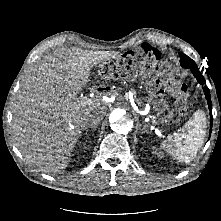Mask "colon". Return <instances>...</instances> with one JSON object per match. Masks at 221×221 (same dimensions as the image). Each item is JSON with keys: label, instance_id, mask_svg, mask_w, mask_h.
I'll use <instances>...</instances> for the list:
<instances>
[{"label": "colon", "instance_id": "5ec220e1", "mask_svg": "<svg viewBox=\"0 0 221 221\" xmlns=\"http://www.w3.org/2000/svg\"><path fill=\"white\" fill-rule=\"evenodd\" d=\"M144 51L141 52V50H136L133 52V56L139 58L141 61V65L139 66L140 72H146L147 67L157 62V58L153 56L154 49L150 46H143ZM134 72V69L131 67H128L126 65L125 61L116 63V62H109L106 64H103L100 68V74L107 79H117L124 75H132ZM181 91L186 90V86L182 85L180 87ZM184 95V93H182ZM177 108L178 110H183L185 108V101L184 96L180 97L177 101Z\"/></svg>", "mask_w": 221, "mask_h": 221}]
</instances>
